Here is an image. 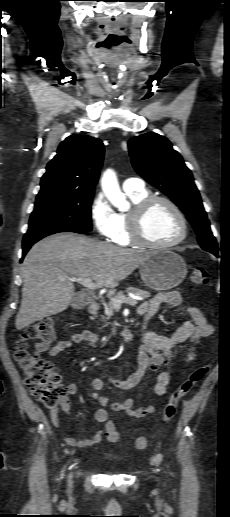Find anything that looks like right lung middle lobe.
Returning <instances> with one entry per match:
<instances>
[{
	"label": "right lung middle lobe",
	"instance_id": "obj_1",
	"mask_svg": "<svg viewBox=\"0 0 230 517\" xmlns=\"http://www.w3.org/2000/svg\"><path fill=\"white\" fill-rule=\"evenodd\" d=\"M93 195L94 192H75L37 197L28 232L56 226L91 231Z\"/></svg>",
	"mask_w": 230,
	"mask_h": 517
}]
</instances>
